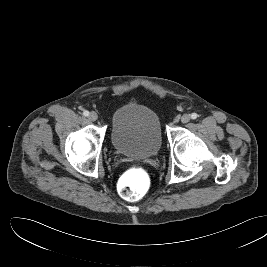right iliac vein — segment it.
<instances>
[{"label":"right iliac vein","instance_id":"obj_1","mask_svg":"<svg viewBox=\"0 0 267 267\" xmlns=\"http://www.w3.org/2000/svg\"><path fill=\"white\" fill-rule=\"evenodd\" d=\"M89 119L91 120V121H96L97 119H98V115H97V113L96 112H91L90 114H89Z\"/></svg>","mask_w":267,"mask_h":267}]
</instances>
